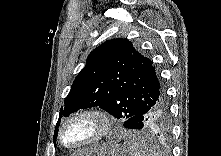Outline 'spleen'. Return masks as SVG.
Segmentation results:
<instances>
[{
  "label": "spleen",
  "mask_w": 221,
  "mask_h": 156,
  "mask_svg": "<svg viewBox=\"0 0 221 156\" xmlns=\"http://www.w3.org/2000/svg\"><path fill=\"white\" fill-rule=\"evenodd\" d=\"M124 146L127 148L130 156H156L155 149L151 148L145 140L134 139L126 141Z\"/></svg>",
  "instance_id": "obj_1"
}]
</instances>
